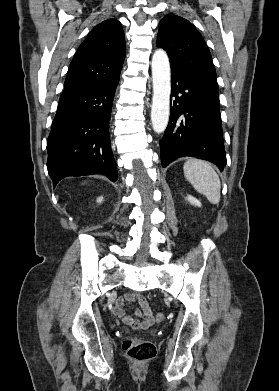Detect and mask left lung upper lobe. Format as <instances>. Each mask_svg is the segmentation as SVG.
<instances>
[{"mask_svg":"<svg viewBox=\"0 0 279 391\" xmlns=\"http://www.w3.org/2000/svg\"><path fill=\"white\" fill-rule=\"evenodd\" d=\"M157 46L167 52L171 70L190 76L219 93L211 53L202 35L188 20L166 15L159 23Z\"/></svg>","mask_w":279,"mask_h":391,"instance_id":"left-lung-upper-lobe-1","label":"left lung upper lobe"}]
</instances>
